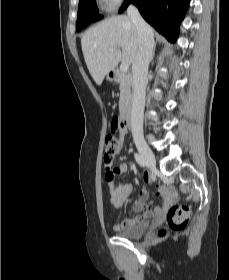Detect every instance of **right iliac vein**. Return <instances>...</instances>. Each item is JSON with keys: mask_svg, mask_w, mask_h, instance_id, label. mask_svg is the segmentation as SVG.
Here are the masks:
<instances>
[{"mask_svg": "<svg viewBox=\"0 0 229 280\" xmlns=\"http://www.w3.org/2000/svg\"><path fill=\"white\" fill-rule=\"evenodd\" d=\"M136 147L138 151L140 152L141 156L143 159L146 161L148 166L152 169L155 170V157L151 149L148 147V145L141 139H137L135 141Z\"/></svg>", "mask_w": 229, "mask_h": 280, "instance_id": "1", "label": "right iliac vein"}]
</instances>
